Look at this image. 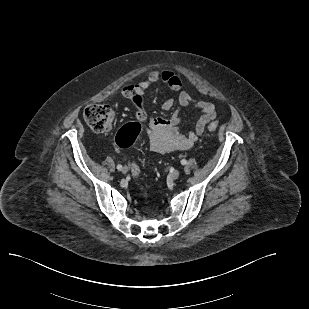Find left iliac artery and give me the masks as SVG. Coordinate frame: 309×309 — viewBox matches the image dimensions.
<instances>
[{"mask_svg":"<svg viewBox=\"0 0 309 309\" xmlns=\"http://www.w3.org/2000/svg\"><path fill=\"white\" fill-rule=\"evenodd\" d=\"M186 163H187L186 159H182V160H181V164H182V165H185Z\"/></svg>","mask_w":309,"mask_h":309,"instance_id":"left-iliac-artery-1","label":"left iliac artery"}]
</instances>
